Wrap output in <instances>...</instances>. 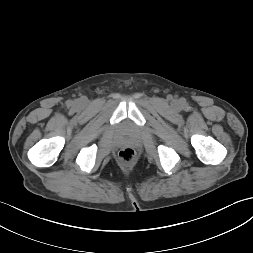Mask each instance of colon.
I'll use <instances>...</instances> for the list:
<instances>
[{
    "mask_svg": "<svg viewBox=\"0 0 253 253\" xmlns=\"http://www.w3.org/2000/svg\"><path fill=\"white\" fill-rule=\"evenodd\" d=\"M119 159L125 163V164H130L134 161L136 153L133 148L126 147L123 148L119 151Z\"/></svg>",
    "mask_w": 253,
    "mask_h": 253,
    "instance_id": "5ec220e1",
    "label": "colon"
}]
</instances>
